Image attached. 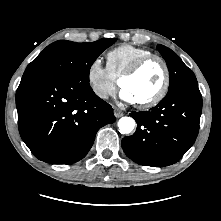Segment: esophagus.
Here are the masks:
<instances>
[{
	"label": "esophagus",
	"instance_id": "1",
	"mask_svg": "<svg viewBox=\"0 0 221 221\" xmlns=\"http://www.w3.org/2000/svg\"><path fill=\"white\" fill-rule=\"evenodd\" d=\"M114 115L116 118H120L121 116H123V111L119 108H114Z\"/></svg>",
	"mask_w": 221,
	"mask_h": 221
}]
</instances>
